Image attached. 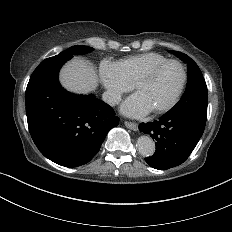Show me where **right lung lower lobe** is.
Listing matches in <instances>:
<instances>
[{
	"instance_id": "obj_1",
	"label": "right lung lower lobe",
	"mask_w": 232,
	"mask_h": 232,
	"mask_svg": "<svg viewBox=\"0 0 232 232\" xmlns=\"http://www.w3.org/2000/svg\"><path fill=\"white\" fill-rule=\"evenodd\" d=\"M72 57L43 60L30 77L25 99L35 145L45 157L65 167L89 162L119 123L112 107L94 95H75L61 87L59 70Z\"/></svg>"
}]
</instances>
